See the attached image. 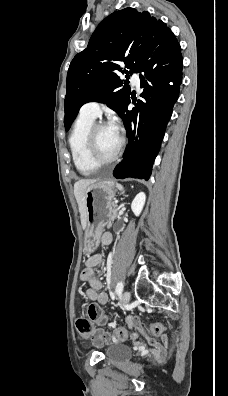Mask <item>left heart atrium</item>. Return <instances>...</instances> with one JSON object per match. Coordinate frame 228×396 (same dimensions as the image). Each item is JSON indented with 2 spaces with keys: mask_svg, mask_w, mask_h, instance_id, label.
I'll return each instance as SVG.
<instances>
[{
  "mask_svg": "<svg viewBox=\"0 0 228 396\" xmlns=\"http://www.w3.org/2000/svg\"><path fill=\"white\" fill-rule=\"evenodd\" d=\"M110 126L118 133L117 126L115 123L110 124Z\"/></svg>",
  "mask_w": 228,
  "mask_h": 396,
  "instance_id": "39dd6f15",
  "label": "left heart atrium"
}]
</instances>
